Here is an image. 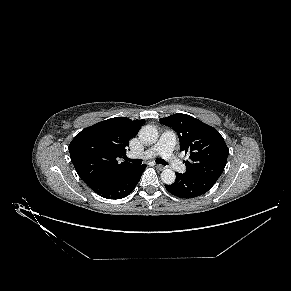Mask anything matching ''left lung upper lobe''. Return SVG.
Masks as SVG:
<instances>
[{"mask_svg": "<svg viewBox=\"0 0 291 291\" xmlns=\"http://www.w3.org/2000/svg\"><path fill=\"white\" fill-rule=\"evenodd\" d=\"M160 122L177 132L180 150L189 154V160L184 161L186 174L220 177L226 165L229 149L215 128L181 113L161 118Z\"/></svg>", "mask_w": 291, "mask_h": 291, "instance_id": "left-lung-upper-lobe-1", "label": "left lung upper lobe"}]
</instances>
